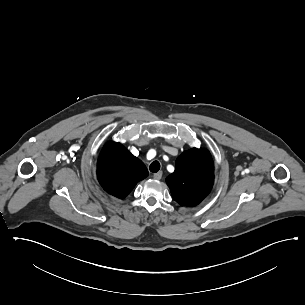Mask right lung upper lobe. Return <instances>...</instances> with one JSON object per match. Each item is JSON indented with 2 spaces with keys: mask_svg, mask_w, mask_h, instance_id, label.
Instances as JSON below:
<instances>
[{
  "mask_svg": "<svg viewBox=\"0 0 305 305\" xmlns=\"http://www.w3.org/2000/svg\"><path fill=\"white\" fill-rule=\"evenodd\" d=\"M97 175L107 193L123 199L147 177L148 170L120 143L107 142L98 159Z\"/></svg>",
  "mask_w": 305,
  "mask_h": 305,
  "instance_id": "cb5924a9",
  "label": "right lung upper lobe"
}]
</instances>
